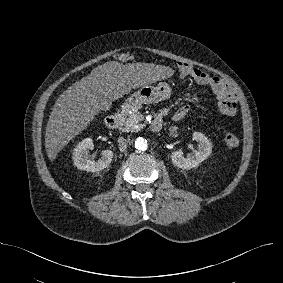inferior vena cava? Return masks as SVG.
I'll use <instances>...</instances> for the list:
<instances>
[{
	"mask_svg": "<svg viewBox=\"0 0 283 283\" xmlns=\"http://www.w3.org/2000/svg\"><path fill=\"white\" fill-rule=\"evenodd\" d=\"M127 143H128V141L124 137H119L118 138L119 147L123 151H125L127 149Z\"/></svg>",
	"mask_w": 283,
	"mask_h": 283,
	"instance_id": "1",
	"label": "inferior vena cava"
}]
</instances>
